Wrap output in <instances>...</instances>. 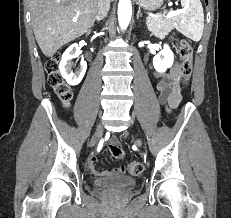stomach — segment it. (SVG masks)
<instances>
[{
    "label": "stomach",
    "instance_id": "stomach-1",
    "mask_svg": "<svg viewBox=\"0 0 231 218\" xmlns=\"http://www.w3.org/2000/svg\"><path fill=\"white\" fill-rule=\"evenodd\" d=\"M164 0H138V4L149 11H155L157 9H159L162 4H163Z\"/></svg>",
    "mask_w": 231,
    "mask_h": 218
}]
</instances>
